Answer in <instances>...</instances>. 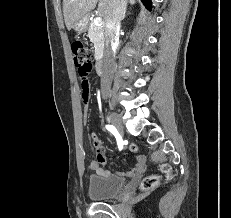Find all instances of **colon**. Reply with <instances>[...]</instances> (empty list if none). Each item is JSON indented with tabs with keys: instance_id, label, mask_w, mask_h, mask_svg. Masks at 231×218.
<instances>
[{
	"instance_id": "colon-1",
	"label": "colon",
	"mask_w": 231,
	"mask_h": 218,
	"mask_svg": "<svg viewBox=\"0 0 231 218\" xmlns=\"http://www.w3.org/2000/svg\"><path fill=\"white\" fill-rule=\"evenodd\" d=\"M71 50L74 57V63L79 69V66H85L87 63H94V53L93 51L86 47L85 44L81 40H74L71 44ZM93 66V65H92ZM136 146L132 145L131 150L135 151ZM160 170L164 173L167 178L172 177V169L167 164H162L160 166ZM160 178L157 175H150L146 177L141 183V189L143 191H149L156 188L159 185Z\"/></svg>"
}]
</instances>
